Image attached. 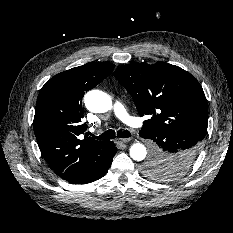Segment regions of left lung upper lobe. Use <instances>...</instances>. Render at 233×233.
Here are the masks:
<instances>
[{
	"label": "left lung upper lobe",
	"instance_id": "left-lung-upper-lobe-1",
	"mask_svg": "<svg viewBox=\"0 0 233 233\" xmlns=\"http://www.w3.org/2000/svg\"><path fill=\"white\" fill-rule=\"evenodd\" d=\"M114 76L132 96L139 114L149 116L141 132L182 130L197 135L202 142L207 133V100L190 73L175 65L157 62L124 65ZM172 170L173 167L159 157H151L143 168L145 174L154 179Z\"/></svg>",
	"mask_w": 233,
	"mask_h": 233
}]
</instances>
